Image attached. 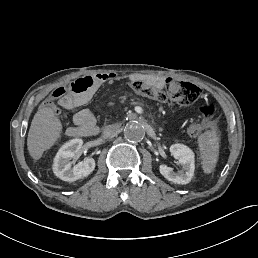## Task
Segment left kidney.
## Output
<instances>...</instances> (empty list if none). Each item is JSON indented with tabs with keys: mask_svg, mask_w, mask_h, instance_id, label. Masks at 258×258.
Instances as JSON below:
<instances>
[{
	"mask_svg": "<svg viewBox=\"0 0 258 258\" xmlns=\"http://www.w3.org/2000/svg\"><path fill=\"white\" fill-rule=\"evenodd\" d=\"M171 154L178 159L182 165L179 173H175L172 168L162 166L161 174L169 181L176 184H188L191 182L195 173V154L185 144L175 143L170 146Z\"/></svg>",
	"mask_w": 258,
	"mask_h": 258,
	"instance_id": "left-kidney-1",
	"label": "left kidney"
}]
</instances>
